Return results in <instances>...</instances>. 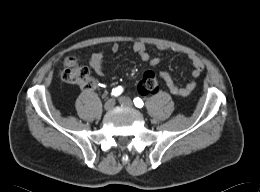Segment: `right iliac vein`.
Instances as JSON below:
<instances>
[{"instance_id": "right-iliac-vein-1", "label": "right iliac vein", "mask_w": 260, "mask_h": 192, "mask_svg": "<svg viewBox=\"0 0 260 192\" xmlns=\"http://www.w3.org/2000/svg\"><path fill=\"white\" fill-rule=\"evenodd\" d=\"M115 106V100L114 99H109L105 105H104V109L107 111H110L111 109H113V107Z\"/></svg>"}]
</instances>
